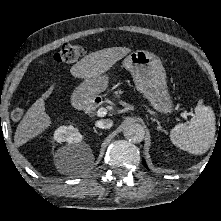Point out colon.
<instances>
[{
    "mask_svg": "<svg viewBox=\"0 0 221 221\" xmlns=\"http://www.w3.org/2000/svg\"><path fill=\"white\" fill-rule=\"evenodd\" d=\"M85 54L83 46L74 43L64 44L57 52L53 55L54 62L58 64H71L80 60ZM24 110L21 106H15L11 110V118L18 121L22 118Z\"/></svg>",
    "mask_w": 221,
    "mask_h": 221,
    "instance_id": "5ec220e1",
    "label": "colon"
}]
</instances>
